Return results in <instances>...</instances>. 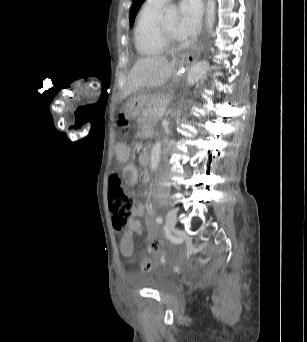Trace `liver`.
I'll use <instances>...</instances> for the list:
<instances>
[{
  "mask_svg": "<svg viewBox=\"0 0 307 342\" xmlns=\"http://www.w3.org/2000/svg\"><path fill=\"white\" fill-rule=\"evenodd\" d=\"M176 62L174 56L171 62H168L166 56H148L137 60L126 78L125 88L120 94L122 100L136 90L158 88L166 84L173 74Z\"/></svg>",
  "mask_w": 307,
  "mask_h": 342,
  "instance_id": "obj_1",
  "label": "liver"
}]
</instances>
